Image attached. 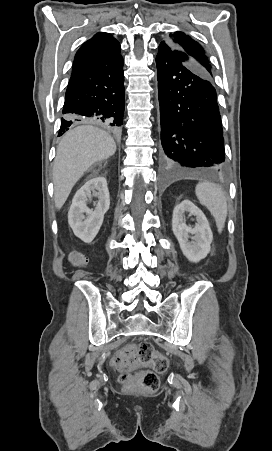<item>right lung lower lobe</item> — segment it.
I'll return each instance as SVG.
<instances>
[{
	"label": "right lung lower lobe",
	"mask_w": 272,
	"mask_h": 451,
	"mask_svg": "<svg viewBox=\"0 0 272 451\" xmlns=\"http://www.w3.org/2000/svg\"><path fill=\"white\" fill-rule=\"evenodd\" d=\"M121 54L73 69L66 90L59 136L78 123H96L119 133L124 115Z\"/></svg>",
	"instance_id": "obj_1"
}]
</instances>
